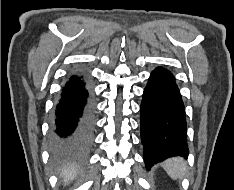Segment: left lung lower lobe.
Instances as JSON below:
<instances>
[{
	"label": "left lung lower lobe",
	"instance_id": "left-lung-lower-lobe-1",
	"mask_svg": "<svg viewBox=\"0 0 234 190\" xmlns=\"http://www.w3.org/2000/svg\"><path fill=\"white\" fill-rule=\"evenodd\" d=\"M141 142L149 170L169 157H187L185 108L175 78L170 71L157 67L151 72L140 108Z\"/></svg>",
	"mask_w": 234,
	"mask_h": 190
}]
</instances>
